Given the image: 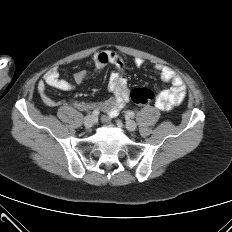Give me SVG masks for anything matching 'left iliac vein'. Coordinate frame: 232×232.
<instances>
[{
    "instance_id": "1",
    "label": "left iliac vein",
    "mask_w": 232,
    "mask_h": 232,
    "mask_svg": "<svg viewBox=\"0 0 232 232\" xmlns=\"http://www.w3.org/2000/svg\"><path fill=\"white\" fill-rule=\"evenodd\" d=\"M125 126L127 128V130L129 131H134L136 129V123L133 121V120H130L128 119L126 122H125Z\"/></svg>"
}]
</instances>
